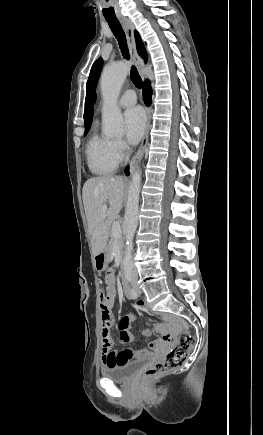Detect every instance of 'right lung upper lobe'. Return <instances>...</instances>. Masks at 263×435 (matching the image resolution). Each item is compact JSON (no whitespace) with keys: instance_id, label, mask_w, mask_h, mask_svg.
I'll use <instances>...</instances> for the list:
<instances>
[{"instance_id":"1","label":"right lung upper lobe","mask_w":263,"mask_h":435,"mask_svg":"<svg viewBox=\"0 0 263 435\" xmlns=\"http://www.w3.org/2000/svg\"><path fill=\"white\" fill-rule=\"evenodd\" d=\"M135 38H136V44H137V50L138 53L145 59V61L147 60V53L146 50L144 48V45L140 39L139 34L135 31ZM86 119H87V110L85 109L84 111V121L86 123Z\"/></svg>"}]
</instances>
